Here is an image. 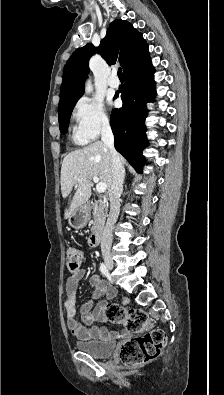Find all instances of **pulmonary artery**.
I'll return each instance as SVG.
<instances>
[{"mask_svg":"<svg viewBox=\"0 0 224 395\" xmlns=\"http://www.w3.org/2000/svg\"><path fill=\"white\" fill-rule=\"evenodd\" d=\"M108 85L111 88H117L119 86V80L115 74H112L108 79Z\"/></svg>","mask_w":224,"mask_h":395,"instance_id":"obj_1","label":"pulmonary artery"}]
</instances>
